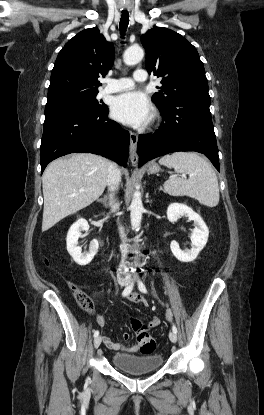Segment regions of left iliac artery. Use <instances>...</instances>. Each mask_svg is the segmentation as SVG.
<instances>
[{
  "instance_id": "44dca946",
  "label": "left iliac artery",
  "mask_w": 264,
  "mask_h": 415,
  "mask_svg": "<svg viewBox=\"0 0 264 415\" xmlns=\"http://www.w3.org/2000/svg\"><path fill=\"white\" fill-rule=\"evenodd\" d=\"M138 288L142 293H147V289H146L144 283L141 280H138ZM172 330H173V332L177 333V328L174 324L172 326Z\"/></svg>"
}]
</instances>
